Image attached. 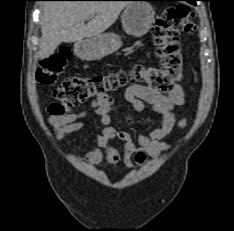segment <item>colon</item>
Here are the masks:
<instances>
[{
	"mask_svg": "<svg viewBox=\"0 0 234 231\" xmlns=\"http://www.w3.org/2000/svg\"><path fill=\"white\" fill-rule=\"evenodd\" d=\"M192 9L186 4H176L167 8L156 19L153 33L160 65H136L128 77L125 73H111L90 77L72 76L63 80L55 89L59 110L69 112L87 101L106 95L124 86L128 79L141 83L158 92H170L181 80L184 72V58L179 43L181 31L193 30ZM70 57L64 49L43 61L38 70L37 79L40 83H52L56 75L67 65ZM143 154L137 160H143Z\"/></svg>",
	"mask_w": 234,
	"mask_h": 231,
	"instance_id": "colon-1",
	"label": "colon"
}]
</instances>
